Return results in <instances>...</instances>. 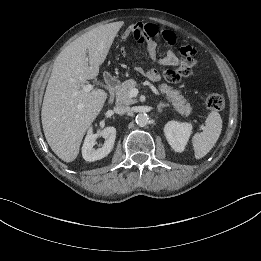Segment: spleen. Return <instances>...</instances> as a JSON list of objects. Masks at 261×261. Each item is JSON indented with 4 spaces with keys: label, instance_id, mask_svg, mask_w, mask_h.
<instances>
[{
    "label": "spleen",
    "instance_id": "spleen-1",
    "mask_svg": "<svg viewBox=\"0 0 261 261\" xmlns=\"http://www.w3.org/2000/svg\"><path fill=\"white\" fill-rule=\"evenodd\" d=\"M222 130V119L218 112L212 111L205 120L204 130L196 133L192 138L194 155L196 159H201L216 144Z\"/></svg>",
    "mask_w": 261,
    "mask_h": 261
}]
</instances>
